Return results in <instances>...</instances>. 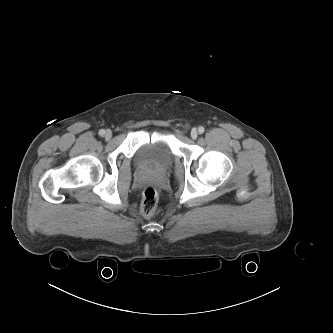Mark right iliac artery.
Returning <instances> with one entry per match:
<instances>
[{"label": "right iliac artery", "instance_id": "1", "mask_svg": "<svg viewBox=\"0 0 333 333\" xmlns=\"http://www.w3.org/2000/svg\"><path fill=\"white\" fill-rule=\"evenodd\" d=\"M104 134H105V130L104 129L99 130V135L100 136H103Z\"/></svg>", "mask_w": 333, "mask_h": 333}]
</instances>
